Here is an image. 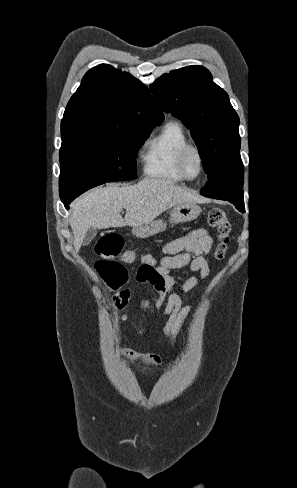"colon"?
I'll return each mask as SVG.
<instances>
[{"mask_svg": "<svg viewBox=\"0 0 297 488\" xmlns=\"http://www.w3.org/2000/svg\"><path fill=\"white\" fill-rule=\"evenodd\" d=\"M208 224L218 231V245L215 257L220 260L224 257L229 243L231 223L223 210L214 208L208 214ZM95 250L101 257L95 263V270L111 289L118 292L114 300L115 305L121 308L126 304L130 295L129 289L126 288L129 275L124 264L115 258L120 254L127 258H131V255L127 254L126 251L122 253V238L116 233L104 234L98 240ZM141 260L142 262L134 276L135 281L139 284L148 280L157 265V257L151 254H143Z\"/></svg>", "mask_w": 297, "mask_h": 488, "instance_id": "colon-1", "label": "colon"}]
</instances>
